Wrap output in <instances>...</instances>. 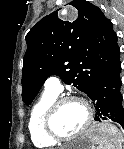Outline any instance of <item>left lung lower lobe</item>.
<instances>
[{"label":"left lung lower lobe","mask_w":124,"mask_h":149,"mask_svg":"<svg viewBox=\"0 0 124 149\" xmlns=\"http://www.w3.org/2000/svg\"><path fill=\"white\" fill-rule=\"evenodd\" d=\"M121 62L104 73L87 91L95 107V121L112 120L124 128L123 98L120 92Z\"/></svg>","instance_id":"obj_1"}]
</instances>
